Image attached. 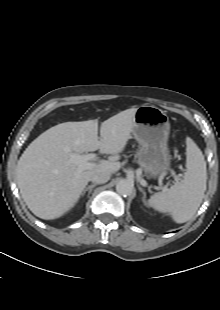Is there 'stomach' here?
I'll return each mask as SVG.
<instances>
[{"label":"stomach","instance_id":"1","mask_svg":"<svg viewBox=\"0 0 220 310\" xmlns=\"http://www.w3.org/2000/svg\"><path fill=\"white\" fill-rule=\"evenodd\" d=\"M169 131V118L163 110L151 105L137 108L132 128V134L139 143L136 158L153 178L166 174L170 169Z\"/></svg>","mask_w":220,"mask_h":310}]
</instances>
